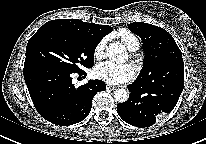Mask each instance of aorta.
I'll return each mask as SVG.
<instances>
[{"mask_svg":"<svg viewBox=\"0 0 206 144\" xmlns=\"http://www.w3.org/2000/svg\"><path fill=\"white\" fill-rule=\"evenodd\" d=\"M106 55L109 58L123 62L127 58L125 47L119 43H111L106 48ZM114 98L119 103H124L128 100L129 94L125 89H116L114 91Z\"/></svg>","mask_w":206,"mask_h":144,"instance_id":"aorta-1","label":"aorta"}]
</instances>
